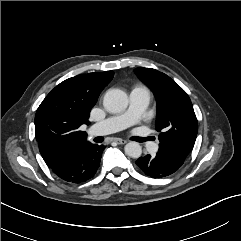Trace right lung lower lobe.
I'll list each match as a JSON object with an SVG mask.
<instances>
[{
    "mask_svg": "<svg viewBox=\"0 0 241 241\" xmlns=\"http://www.w3.org/2000/svg\"><path fill=\"white\" fill-rule=\"evenodd\" d=\"M104 148L103 145L90 142L72 145L46 164L62 180L81 183L89 180L96 173Z\"/></svg>",
    "mask_w": 241,
    "mask_h": 241,
    "instance_id": "right-lung-lower-lobe-1",
    "label": "right lung lower lobe"
}]
</instances>
